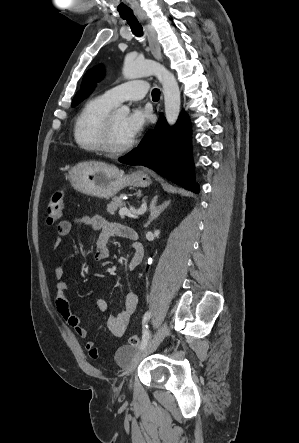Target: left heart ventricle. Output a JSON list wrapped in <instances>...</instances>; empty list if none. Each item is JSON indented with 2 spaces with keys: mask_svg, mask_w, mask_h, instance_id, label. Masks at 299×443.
Instances as JSON below:
<instances>
[{
  "mask_svg": "<svg viewBox=\"0 0 299 443\" xmlns=\"http://www.w3.org/2000/svg\"><path fill=\"white\" fill-rule=\"evenodd\" d=\"M125 118L126 115L123 113H113V144L116 147H122L133 140L124 129Z\"/></svg>",
  "mask_w": 299,
  "mask_h": 443,
  "instance_id": "1",
  "label": "left heart ventricle"
}]
</instances>
